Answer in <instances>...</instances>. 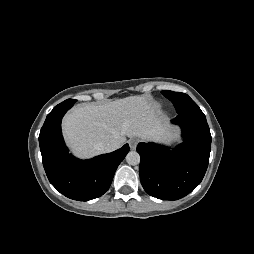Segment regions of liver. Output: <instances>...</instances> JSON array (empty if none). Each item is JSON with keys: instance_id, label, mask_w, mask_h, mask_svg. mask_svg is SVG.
Here are the masks:
<instances>
[{"instance_id": "6515ba94", "label": "liver", "mask_w": 254, "mask_h": 254, "mask_svg": "<svg viewBox=\"0 0 254 254\" xmlns=\"http://www.w3.org/2000/svg\"><path fill=\"white\" fill-rule=\"evenodd\" d=\"M65 139L75 155L88 158L104 153L109 141L126 137L164 141L171 135L165 117L147 95L130 96L106 104H82L62 124Z\"/></svg>"}]
</instances>
